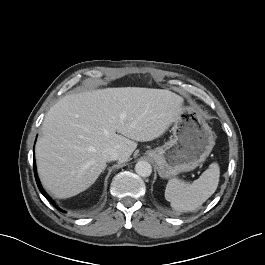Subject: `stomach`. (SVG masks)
Segmentation results:
<instances>
[{"instance_id": "1", "label": "stomach", "mask_w": 265, "mask_h": 265, "mask_svg": "<svg viewBox=\"0 0 265 265\" xmlns=\"http://www.w3.org/2000/svg\"><path fill=\"white\" fill-rule=\"evenodd\" d=\"M171 130L172 139L161 147L147 151L162 178L194 170L207 159L215 145L211 127L189 106H182Z\"/></svg>"}]
</instances>
